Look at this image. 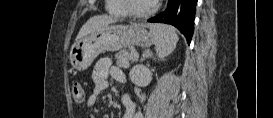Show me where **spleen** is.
<instances>
[{
    "mask_svg": "<svg viewBox=\"0 0 273 118\" xmlns=\"http://www.w3.org/2000/svg\"><path fill=\"white\" fill-rule=\"evenodd\" d=\"M150 34L155 44L157 55L160 58L171 54L179 40L175 28L164 24L151 25Z\"/></svg>",
    "mask_w": 273,
    "mask_h": 118,
    "instance_id": "obj_1",
    "label": "spleen"
}]
</instances>
